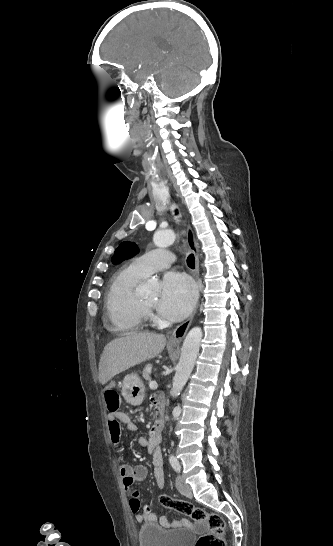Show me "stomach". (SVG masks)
<instances>
[{
  "mask_svg": "<svg viewBox=\"0 0 333 546\" xmlns=\"http://www.w3.org/2000/svg\"><path fill=\"white\" fill-rule=\"evenodd\" d=\"M122 394L127 403L140 405L144 399V385L137 374H128L122 383Z\"/></svg>",
  "mask_w": 333,
  "mask_h": 546,
  "instance_id": "obj_1",
  "label": "stomach"
}]
</instances>
